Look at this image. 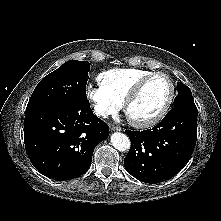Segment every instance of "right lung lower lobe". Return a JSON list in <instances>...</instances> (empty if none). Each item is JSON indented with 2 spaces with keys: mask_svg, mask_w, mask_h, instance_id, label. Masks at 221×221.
Returning a JSON list of instances; mask_svg holds the SVG:
<instances>
[{
  "mask_svg": "<svg viewBox=\"0 0 221 221\" xmlns=\"http://www.w3.org/2000/svg\"><path fill=\"white\" fill-rule=\"evenodd\" d=\"M109 135L106 123L89 105L77 110L59 107L26 111L24 141L34 167L56 180L85 173L96 145Z\"/></svg>",
  "mask_w": 221,
  "mask_h": 221,
  "instance_id": "98d812e1",
  "label": "right lung lower lobe"
}]
</instances>
